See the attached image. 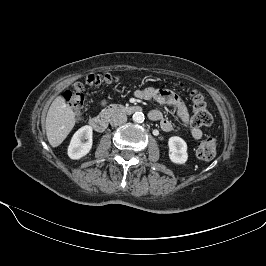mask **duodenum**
I'll list each match as a JSON object with an SVG mask.
<instances>
[{"label":"duodenum","mask_w":266,"mask_h":266,"mask_svg":"<svg viewBox=\"0 0 266 266\" xmlns=\"http://www.w3.org/2000/svg\"><path fill=\"white\" fill-rule=\"evenodd\" d=\"M141 111V108L137 105H120L113 104L106 107L98 116L90 119L89 123L91 127L98 132H103L112 117L118 114H134Z\"/></svg>","instance_id":"1"}]
</instances>
